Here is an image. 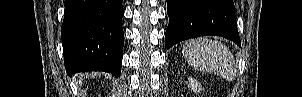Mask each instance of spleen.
<instances>
[{
  "label": "spleen",
  "mask_w": 302,
  "mask_h": 97,
  "mask_svg": "<svg viewBox=\"0 0 302 97\" xmlns=\"http://www.w3.org/2000/svg\"><path fill=\"white\" fill-rule=\"evenodd\" d=\"M182 54L197 71L214 73L227 80L236 76L235 59L229 48L219 41L203 37L189 40L184 43Z\"/></svg>",
  "instance_id": "spleen-1"
}]
</instances>
